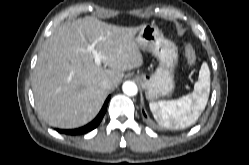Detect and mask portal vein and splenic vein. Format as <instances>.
<instances>
[{
	"mask_svg": "<svg viewBox=\"0 0 249 165\" xmlns=\"http://www.w3.org/2000/svg\"><path fill=\"white\" fill-rule=\"evenodd\" d=\"M87 50L90 51V52H92V54L94 55V58H95V63H96L98 66L101 65V61H102L103 59H107V58H108L107 56H103V55H101V54H99V53L97 52V50L95 49V43L89 45V46L87 47Z\"/></svg>",
	"mask_w": 249,
	"mask_h": 165,
	"instance_id": "1",
	"label": "portal vein and splenic vein"
}]
</instances>
